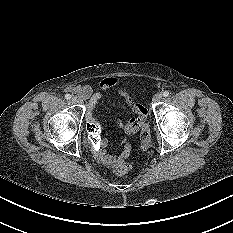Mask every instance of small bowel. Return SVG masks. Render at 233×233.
Returning <instances> with one entry per match:
<instances>
[{"instance_id":"obj_1","label":"small bowel","mask_w":233,"mask_h":233,"mask_svg":"<svg viewBox=\"0 0 233 233\" xmlns=\"http://www.w3.org/2000/svg\"><path fill=\"white\" fill-rule=\"evenodd\" d=\"M118 82L119 80L116 77H106L100 81L99 88L102 91H105L115 87ZM73 91L81 97L89 99L90 110H92L102 99V93L94 92L90 85H77L73 87ZM116 95L122 101V103L119 102V105L123 107L124 105L131 107L132 111L136 114L135 117H132L126 123L119 122L118 128L126 135L134 134L144 123L146 110L142 105L134 101L133 96L128 91L119 90ZM91 122L95 123L100 129L98 120L92 113H90L88 116V123ZM123 141L124 137L121 138V142ZM106 146L107 141L101 137L99 145L95 147V157L99 163L110 169L118 168L124 164V160L130 155L131 152V146L129 144H125L119 155H111L107 153Z\"/></svg>"}]
</instances>
